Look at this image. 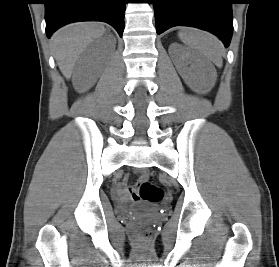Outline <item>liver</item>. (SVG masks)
<instances>
[{
	"label": "liver",
	"instance_id": "liver-1",
	"mask_svg": "<svg viewBox=\"0 0 279 267\" xmlns=\"http://www.w3.org/2000/svg\"><path fill=\"white\" fill-rule=\"evenodd\" d=\"M106 29L98 22L67 25L56 31L52 38L54 57L62 74L69 79L80 54Z\"/></svg>",
	"mask_w": 279,
	"mask_h": 267
}]
</instances>
